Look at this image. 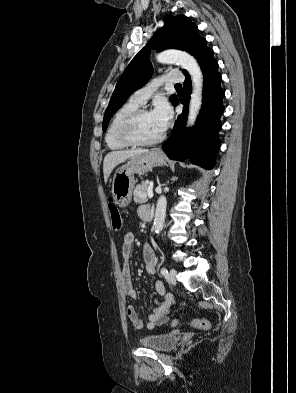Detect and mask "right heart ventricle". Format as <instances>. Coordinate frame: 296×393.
I'll use <instances>...</instances> for the list:
<instances>
[{"instance_id":"e07e8e85","label":"right heart ventricle","mask_w":296,"mask_h":393,"mask_svg":"<svg viewBox=\"0 0 296 393\" xmlns=\"http://www.w3.org/2000/svg\"><path fill=\"white\" fill-rule=\"evenodd\" d=\"M139 106L129 100L114 113L105 135L106 144L111 150H121L128 147L119 137V128L123 120Z\"/></svg>"}]
</instances>
